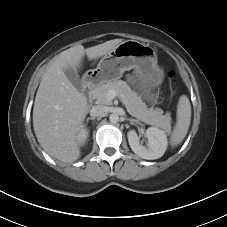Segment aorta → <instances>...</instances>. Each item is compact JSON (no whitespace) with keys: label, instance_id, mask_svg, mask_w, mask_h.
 Returning a JSON list of instances; mask_svg holds the SVG:
<instances>
[{"label":"aorta","instance_id":"1","mask_svg":"<svg viewBox=\"0 0 227 227\" xmlns=\"http://www.w3.org/2000/svg\"><path fill=\"white\" fill-rule=\"evenodd\" d=\"M109 120L111 123H117L119 121V115L113 113L110 115Z\"/></svg>","mask_w":227,"mask_h":227}]
</instances>
